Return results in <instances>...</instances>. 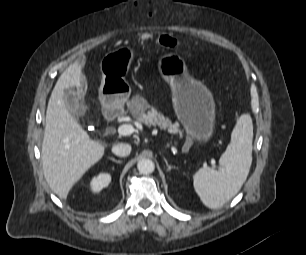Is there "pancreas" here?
I'll use <instances>...</instances> for the list:
<instances>
[{
  "instance_id": "1",
  "label": "pancreas",
  "mask_w": 306,
  "mask_h": 255,
  "mask_svg": "<svg viewBox=\"0 0 306 255\" xmlns=\"http://www.w3.org/2000/svg\"><path fill=\"white\" fill-rule=\"evenodd\" d=\"M147 113L145 111L149 109ZM132 116L139 122H143L147 126H158L162 130H167L174 135L180 133L178 125L173 124L171 120L163 114L151 107L146 100L141 98H134L131 102Z\"/></svg>"
}]
</instances>
